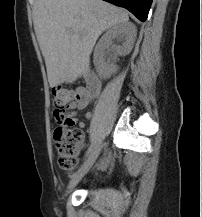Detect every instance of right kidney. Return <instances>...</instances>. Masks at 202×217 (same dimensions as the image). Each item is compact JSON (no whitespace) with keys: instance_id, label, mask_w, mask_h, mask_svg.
I'll use <instances>...</instances> for the list:
<instances>
[{"instance_id":"ca27d5eb","label":"right kidney","mask_w":202,"mask_h":217,"mask_svg":"<svg viewBox=\"0 0 202 217\" xmlns=\"http://www.w3.org/2000/svg\"><path fill=\"white\" fill-rule=\"evenodd\" d=\"M114 39H118L122 44L113 45ZM135 39L136 27L130 22L117 24L108 29L97 43L94 51V65L100 78H109L118 70L117 65L105 62V50L111 46L115 54L125 56L131 52Z\"/></svg>"}]
</instances>
